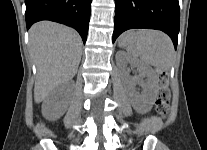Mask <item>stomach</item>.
Segmentation results:
<instances>
[{"mask_svg":"<svg viewBox=\"0 0 207 150\" xmlns=\"http://www.w3.org/2000/svg\"><path fill=\"white\" fill-rule=\"evenodd\" d=\"M132 34H125L119 40V46L126 47L127 44L131 43Z\"/></svg>","mask_w":207,"mask_h":150,"instance_id":"1","label":"stomach"}]
</instances>
